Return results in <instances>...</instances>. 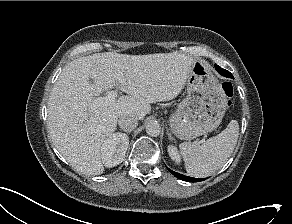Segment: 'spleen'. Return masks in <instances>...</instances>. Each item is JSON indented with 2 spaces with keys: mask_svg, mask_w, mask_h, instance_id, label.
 <instances>
[{
  "mask_svg": "<svg viewBox=\"0 0 292 224\" xmlns=\"http://www.w3.org/2000/svg\"><path fill=\"white\" fill-rule=\"evenodd\" d=\"M239 136V125L231 120L227 128L202 145L190 142L181 143L180 153L189 176L203 178L221 169L233 153Z\"/></svg>",
  "mask_w": 292,
  "mask_h": 224,
  "instance_id": "1",
  "label": "spleen"
}]
</instances>
